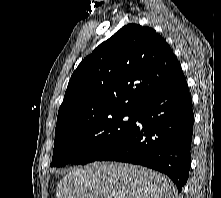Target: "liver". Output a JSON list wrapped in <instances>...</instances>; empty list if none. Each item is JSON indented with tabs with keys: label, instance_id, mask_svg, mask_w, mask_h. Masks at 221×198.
<instances>
[{
	"label": "liver",
	"instance_id": "liver-1",
	"mask_svg": "<svg viewBox=\"0 0 221 198\" xmlns=\"http://www.w3.org/2000/svg\"><path fill=\"white\" fill-rule=\"evenodd\" d=\"M170 180L146 167L103 162L69 171L58 183L57 198H173Z\"/></svg>",
	"mask_w": 221,
	"mask_h": 198
}]
</instances>
